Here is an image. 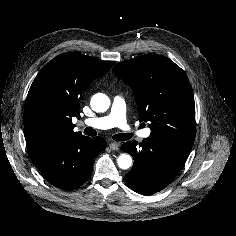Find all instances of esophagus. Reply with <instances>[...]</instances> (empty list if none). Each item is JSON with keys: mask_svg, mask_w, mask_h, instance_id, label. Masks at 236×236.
Listing matches in <instances>:
<instances>
[{"mask_svg": "<svg viewBox=\"0 0 236 236\" xmlns=\"http://www.w3.org/2000/svg\"><path fill=\"white\" fill-rule=\"evenodd\" d=\"M109 148H110L111 150L116 151V150H119L120 146H119V144H118L117 142H111V143L109 144Z\"/></svg>", "mask_w": 236, "mask_h": 236, "instance_id": "1", "label": "esophagus"}]
</instances>
